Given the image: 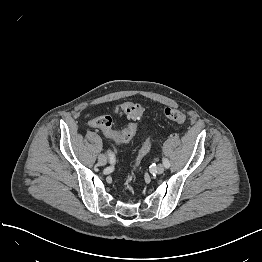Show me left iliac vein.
Returning <instances> with one entry per match:
<instances>
[{"instance_id": "1", "label": "left iliac vein", "mask_w": 262, "mask_h": 262, "mask_svg": "<svg viewBox=\"0 0 262 262\" xmlns=\"http://www.w3.org/2000/svg\"><path fill=\"white\" fill-rule=\"evenodd\" d=\"M164 171H165V166H164V164H159V165L157 166V168H156V172H157L158 174H162Z\"/></svg>"}]
</instances>
